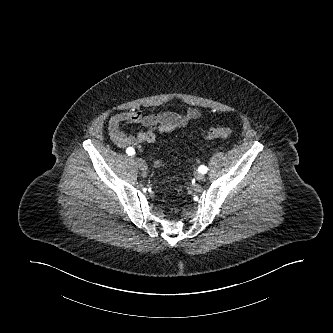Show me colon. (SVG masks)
<instances>
[{
  "instance_id": "5ec220e1",
  "label": "colon",
  "mask_w": 333,
  "mask_h": 333,
  "mask_svg": "<svg viewBox=\"0 0 333 333\" xmlns=\"http://www.w3.org/2000/svg\"><path fill=\"white\" fill-rule=\"evenodd\" d=\"M233 135V131L226 127L210 128L204 135L206 139L228 138ZM157 166H161L160 161H156Z\"/></svg>"
}]
</instances>
